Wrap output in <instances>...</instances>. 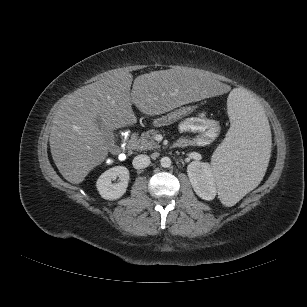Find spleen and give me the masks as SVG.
Masks as SVG:
<instances>
[{
  "mask_svg": "<svg viewBox=\"0 0 307 307\" xmlns=\"http://www.w3.org/2000/svg\"><path fill=\"white\" fill-rule=\"evenodd\" d=\"M227 110L231 127L212 156L211 168L221 203L231 207L262 178L271 135L262 106L244 90L231 91Z\"/></svg>",
  "mask_w": 307,
  "mask_h": 307,
  "instance_id": "obj_1",
  "label": "spleen"
}]
</instances>
